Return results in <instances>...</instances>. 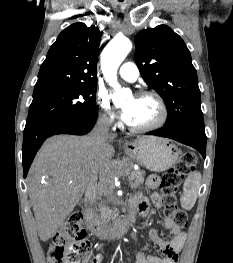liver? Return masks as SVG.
<instances>
[{"instance_id": "1", "label": "liver", "mask_w": 233, "mask_h": 263, "mask_svg": "<svg viewBox=\"0 0 233 263\" xmlns=\"http://www.w3.org/2000/svg\"><path fill=\"white\" fill-rule=\"evenodd\" d=\"M114 153L110 143L97 151L91 135H57L44 142L30 169L28 185L42 241L57 232L98 175H107Z\"/></svg>"}]
</instances>
